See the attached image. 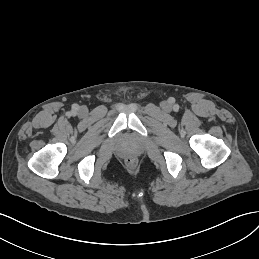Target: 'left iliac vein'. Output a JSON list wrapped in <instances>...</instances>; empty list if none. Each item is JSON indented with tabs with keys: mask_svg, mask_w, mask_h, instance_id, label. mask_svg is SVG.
I'll return each instance as SVG.
<instances>
[{
	"mask_svg": "<svg viewBox=\"0 0 259 259\" xmlns=\"http://www.w3.org/2000/svg\"><path fill=\"white\" fill-rule=\"evenodd\" d=\"M165 107H166V108H169V104L166 103V104H165Z\"/></svg>",
	"mask_w": 259,
	"mask_h": 259,
	"instance_id": "obj_1",
	"label": "left iliac vein"
}]
</instances>
